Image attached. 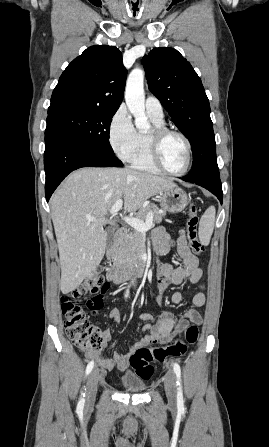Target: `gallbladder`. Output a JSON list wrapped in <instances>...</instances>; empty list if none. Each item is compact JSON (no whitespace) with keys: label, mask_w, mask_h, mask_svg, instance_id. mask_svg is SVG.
Masks as SVG:
<instances>
[{"label":"gallbladder","mask_w":269,"mask_h":447,"mask_svg":"<svg viewBox=\"0 0 269 447\" xmlns=\"http://www.w3.org/2000/svg\"><path fill=\"white\" fill-rule=\"evenodd\" d=\"M106 233H107L106 245H107V247H110V245H112V243H113L114 231H113V229H111V227H106Z\"/></svg>","instance_id":"bac80fb5"}]
</instances>
